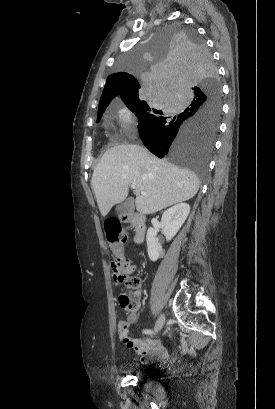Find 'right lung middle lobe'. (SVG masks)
Returning <instances> with one entry per match:
<instances>
[{"instance_id": "dd1d6c3e", "label": "right lung middle lobe", "mask_w": 275, "mask_h": 409, "mask_svg": "<svg viewBox=\"0 0 275 409\" xmlns=\"http://www.w3.org/2000/svg\"><path fill=\"white\" fill-rule=\"evenodd\" d=\"M143 48L127 50L112 72L141 73L147 91L181 92L123 102L138 117L141 140L149 151L171 166L185 165L206 182L221 116V84L206 41L193 24H165L164 30L147 37ZM142 59H148L150 70ZM104 111L98 112L97 122Z\"/></svg>"}]
</instances>
